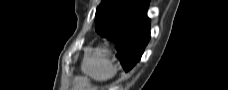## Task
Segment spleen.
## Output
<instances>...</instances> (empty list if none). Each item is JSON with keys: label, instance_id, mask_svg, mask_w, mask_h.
I'll return each mask as SVG.
<instances>
[{"label": "spleen", "instance_id": "spleen-1", "mask_svg": "<svg viewBox=\"0 0 228 90\" xmlns=\"http://www.w3.org/2000/svg\"><path fill=\"white\" fill-rule=\"evenodd\" d=\"M107 53V50L96 49L92 56L86 59L82 72L96 81L113 78L117 73V68L112 64Z\"/></svg>", "mask_w": 228, "mask_h": 90}]
</instances>
